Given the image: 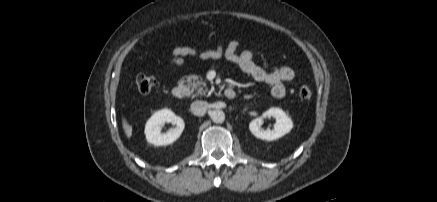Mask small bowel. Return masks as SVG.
Here are the masks:
<instances>
[{"label":"small bowel","mask_w":437,"mask_h":202,"mask_svg":"<svg viewBox=\"0 0 437 202\" xmlns=\"http://www.w3.org/2000/svg\"><path fill=\"white\" fill-rule=\"evenodd\" d=\"M239 46L240 44L236 40L230 41L225 46L218 44L214 48L205 50L191 46H178L170 52L169 64L175 67H183L188 57H197L202 60L225 58L254 81L268 84L274 97H284L286 94L285 84L294 79V70L284 65L273 71H267L254 63V50L251 47H245L239 51Z\"/></svg>","instance_id":"1"}]
</instances>
